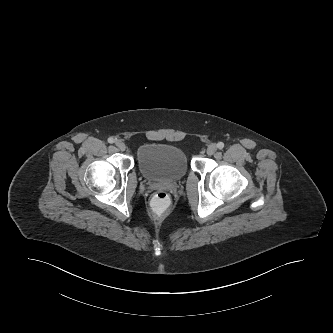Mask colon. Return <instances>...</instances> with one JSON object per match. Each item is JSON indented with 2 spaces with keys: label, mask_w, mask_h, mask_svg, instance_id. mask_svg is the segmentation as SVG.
Segmentation results:
<instances>
[{
  "label": "colon",
  "mask_w": 333,
  "mask_h": 333,
  "mask_svg": "<svg viewBox=\"0 0 333 333\" xmlns=\"http://www.w3.org/2000/svg\"><path fill=\"white\" fill-rule=\"evenodd\" d=\"M170 204V196L166 191L159 190L150 200V209L154 216L164 217L168 213V206Z\"/></svg>",
  "instance_id": "5ec220e1"
}]
</instances>
